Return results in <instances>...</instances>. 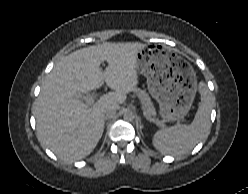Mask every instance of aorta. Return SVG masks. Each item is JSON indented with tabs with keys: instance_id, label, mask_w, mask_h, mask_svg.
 <instances>
[{
	"instance_id": "1",
	"label": "aorta",
	"mask_w": 248,
	"mask_h": 194,
	"mask_svg": "<svg viewBox=\"0 0 248 194\" xmlns=\"http://www.w3.org/2000/svg\"><path fill=\"white\" fill-rule=\"evenodd\" d=\"M123 118L126 121H133L135 118V115L132 111L127 110V111H125Z\"/></svg>"
}]
</instances>
